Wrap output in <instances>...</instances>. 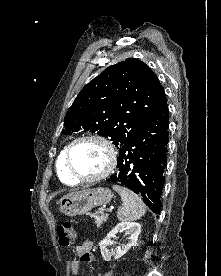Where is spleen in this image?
<instances>
[{"instance_id": "1", "label": "spleen", "mask_w": 221, "mask_h": 276, "mask_svg": "<svg viewBox=\"0 0 221 276\" xmlns=\"http://www.w3.org/2000/svg\"><path fill=\"white\" fill-rule=\"evenodd\" d=\"M112 188L120 195L124 203L117 211V217L120 221L137 220L146 213V207L138 195L119 185H113Z\"/></svg>"}]
</instances>
